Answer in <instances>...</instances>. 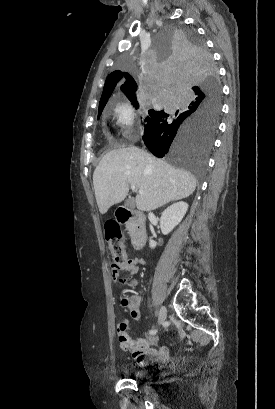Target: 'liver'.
<instances>
[{"instance_id": "1", "label": "liver", "mask_w": 275, "mask_h": 409, "mask_svg": "<svg viewBox=\"0 0 275 409\" xmlns=\"http://www.w3.org/2000/svg\"><path fill=\"white\" fill-rule=\"evenodd\" d=\"M97 205L105 215L112 205L121 202L134 184L144 194H136L139 211H154L170 200L192 194L196 178L189 170L175 168L138 146L115 148L106 152L93 172Z\"/></svg>"}]
</instances>
